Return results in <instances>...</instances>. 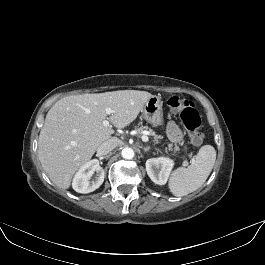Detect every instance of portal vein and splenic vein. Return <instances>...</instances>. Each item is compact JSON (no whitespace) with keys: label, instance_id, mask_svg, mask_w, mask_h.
Instances as JSON below:
<instances>
[{"label":"portal vein and splenic vein","instance_id":"18ae733b","mask_svg":"<svg viewBox=\"0 0 265 265\" xmlns=\"http://www.w3.org/2000/svg\"><path fill=\"white\" fill-rule=\"evenodd\" d=\"M112 113H113V110L111 108H106V114L107 115H111ZM102 123H103L104 126H109V124H110V122L108 120H104ZM148 134L149 133L147 131L143 132V136L141 137L143 142H148L149 141V138L147 136Z\"/></svg>","mask_w":265,"mask_h":265}]
</instances>
